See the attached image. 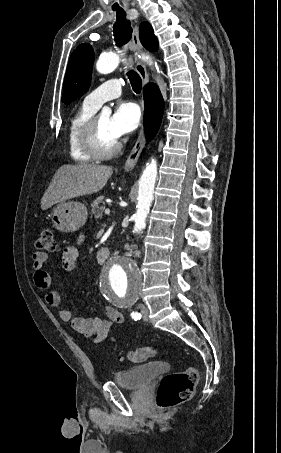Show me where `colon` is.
Segmentation results:
<instances>
[{"label": "colon", "mask_w": 281, "mask_h": 453, "mask_svg": "<svg viewBox=\"0 0 281 453\" xmlns=\"http://www.w3.org/2000/svg\"><path fill=\"white\" fill-rule=\"evenodd\" d=\"M55 230L44 229L37 241L39 250H54ZM161 349L149 347L145 349H127L120 352L122 358L132 363H144L157 357ZM197 369L189 364L184 365L180 373L166 374L160 381L157 394V407L161 411L169 410L191 398L192 384L197 378Z\"/></svg>", "instance_id": "1"}]
</instances>
